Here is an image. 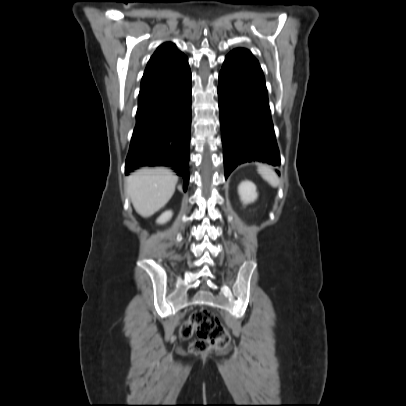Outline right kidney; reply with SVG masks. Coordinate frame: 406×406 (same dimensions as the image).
<instances>
[{
    "instance_id": "obj_1",
    "label": "right kidney",
    "mask_w": 406,
    "mask_h": 406,
    "mask_svg": "<svg viewBox=\"0 0 406 406\" xmlns=\"http://www.w3.org/2000/svg\"><path fill=\"white\" fill-rule=\"evenodd\" d=\"M171 217H172V212L166 211L157 219V223L163 224V223L167 222Z\"/></svg>"
}]
</instances>
